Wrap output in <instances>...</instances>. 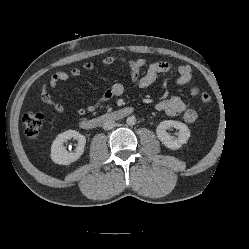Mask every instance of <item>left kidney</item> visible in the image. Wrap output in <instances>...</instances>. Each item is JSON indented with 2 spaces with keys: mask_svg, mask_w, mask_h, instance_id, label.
Here are the masks:
<instances>
[{
  "mask_svg": "<svg viewBox=\"0 0 249 249\" xmlns=\"http://www.w3.org/2000/svg\"><path fill=\"white\" fill-rule=\"evenodd\" d=\"M171 127L178 129L179 133L177 134V137L171 136L167 132V130ZM156 133L162 144L172 150L179 149L190 137V130L187 125L173 120L162 121L157 126Z\"/></svg>",
  "mask_w": 249,
  "mask_h": 249,
  "instance_id": "obj_1",
  "label": "left kidney"
}]
</instances>
